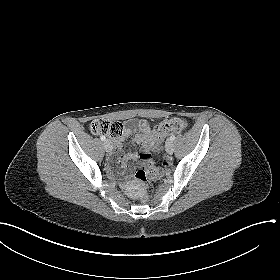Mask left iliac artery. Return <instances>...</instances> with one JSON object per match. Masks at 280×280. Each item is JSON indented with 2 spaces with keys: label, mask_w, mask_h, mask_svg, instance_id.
Listing matches in <instances>:
<instances>
[{
  "label": "left iliac artery",
  "mask_w": 280,
  "mask_h": 280,
  "mask_svg": "<svg viewBox=\"0 0 280 280\" xmlns=\"http://www.w3.org/2000/svg\"><path fill=\"white\" fill-rule=\"evenodd\" d=\"M176 139L175 135H171L170 140L174 141Z\"/></svg>",
  "instance_id": "left-iliac-artery-1"
}]
</instances>
